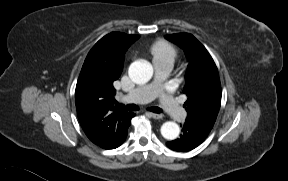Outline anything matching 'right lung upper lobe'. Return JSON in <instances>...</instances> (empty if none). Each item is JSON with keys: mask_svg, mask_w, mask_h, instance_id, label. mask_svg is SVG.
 <instances>
[{"mask_svg": "<svg viewBox=\"0 0 288 181\" xmlns=\"http://www.w3.org/2000/svg\"><path fill=\"white\" fill-rule=\"evenodd\" d=\"M139 35L112 32L100 39L88 53L77 85V114L88 138L105 149L120 146L132 113L116 108L113 82L123 69L124 54Z\"/></svg>", "mask_w": 288, "mask_h": 181, "instance_id": "obj_1", "label": "right lung upper lobe"}]
</instances>
